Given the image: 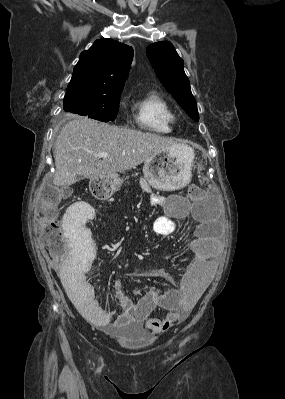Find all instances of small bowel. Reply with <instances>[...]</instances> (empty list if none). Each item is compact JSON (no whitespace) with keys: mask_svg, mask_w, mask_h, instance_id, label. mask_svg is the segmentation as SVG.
<instances>
[{"mask_svg":"<svg viewBox=\"0 0 285 399\" xmlns=\"http://www.w3.org/2000/svg\"><path fill=\"white\" fill-rule=\"evenodd\" d=\"M153 205L164 206L166 216L158 217L151 226V231L160 236H169L176 230L175 216H193L194 207L184 203L178 196L170 197V203L163 201L147 191ZM81 203L70 206L63 219L65 236L70 247L77 246V260L73 267L56 265V271L64 289L79 311L97 328L107 333L132 324H141L149 319L150 313L157 306L169 312L163 320H156L149 329L155 334H163L174 325L185 320L198 299L205 291L212 271V261L206 249L207 237L199 235L189 243L190 260L177 289L162 291L158 287L145 293L138 301L128 297L120 284L115 287V296L123 309L116 315L111 310L102 309L95 299L94 290L86 274L95 255L90 251L89 216Z\"/></svg>","mask_w":285,"mask_h":399,"instance_id":"small-bowel-1","label":"small bowel"}]
</instances>
